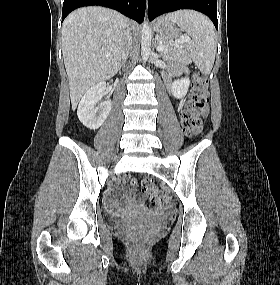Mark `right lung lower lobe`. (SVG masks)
I'll use <instances>...</instances> for the list:
<instances>
[{"instance_id": "1", "label": "right lung lower lobe", "mask_w": 280, "mask_h": 285, "mask_svg": "<svg viewBox=\"0 0 280 285\" xmlns=\"http://www.w3.org/2000/svg\"><path fill=\"white\" fill-rule=\"evenodd\" d=\"M99 5L115 9L124 15L142 23L145 15V0H64L62 21L74 9L83 6Z\"/></svg>"}]
</instances>
